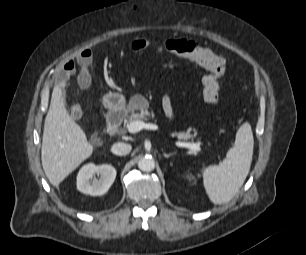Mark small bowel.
Returning a JSON list of instances; mask_svg holds the SVG:
<instances>
[{
	"label": "small bowel",
	"instance_id": "obj_1",
	"mask_svg": "<svg viewBox=\"0 0 306 255\" xmlns=\"http://www.w3.org/2000/svg\"><path fill=\"white\" fill-rule=\"evenodd\" d=\"M78 61L81 65H88L92 61V54L89 50L82 51L78 56ZM75 71V63L69 60L64 65V71L58 76V82L64 83ZM163 110L169 119H174L175 113L172 105V100L169 96H165L162 101Z\"/></svg>",
	"mask_w": 306,
	"mask_h": 255
}]
</instances>
